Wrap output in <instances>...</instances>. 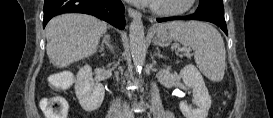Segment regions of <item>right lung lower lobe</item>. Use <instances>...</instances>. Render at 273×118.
Masks as SVG:
<instances>
[{
  "label": "right lung lower lobe",
  "mask_w": 273,
  "mask_h": 118,
  "mask_svg": "<svg viewBox=\"0 0 273 118\" xmlns=\"http://www.w3.org/2000/svg\"><path fill=\"white\" fill-rule=\"evenodd\" d=\"M73 12L96 16L120 29L125 27L121 0H45L43 27L52 17Z\"/></svg>",
  "instance_id": "obj_1"
}]
</instances>
